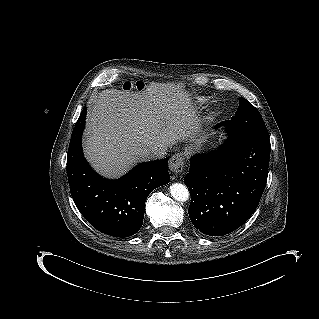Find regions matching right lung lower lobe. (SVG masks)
Instances as JSON below:
<instances>
[{
  "label": "right lung lower lobe",
  "mask_w": 319,
  "mask_h": 319,
  "mask_svg": "<svg viewBox=\"0 0 319 319\" xmlns=\"http://www.w3.org/2000/svg\"><path fill=\"white\" fill-rule=\"evenodd\" d=\"M86 112L84 107L73 129L67 155L71 195L80 213L98 231L113 237H129L143 224L145 201L150 192L170 180L168 158L141 163L117 180L102 178L83 156L81 137Z\"/></svg>",
  "instance_id": "98d812e1"
}]
</instances>
